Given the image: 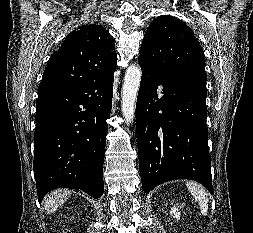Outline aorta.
I'll list each match as a JSON object with an SVG mask.
<instances>
[{"label": "aorta", "instance_id": "obj_1", "mask_svg": "<svg viewBox=\"0 0 253 233\" xmlns=\"http://www.w3.org/2000/svg\"><path fill=\"white\" fill-rule=\"evenodd\" d=\"M142 72L140 67L130 65L125 73L122 88L121 110L126 124H130L135 115V104L139 91Z\"/></svg>", "mask_w": 253, "mask_h": 233}]
</instances>
